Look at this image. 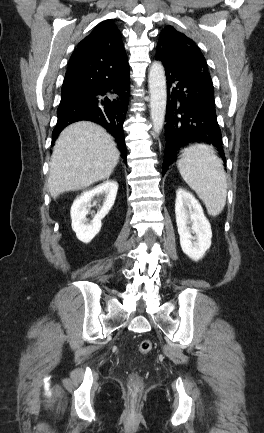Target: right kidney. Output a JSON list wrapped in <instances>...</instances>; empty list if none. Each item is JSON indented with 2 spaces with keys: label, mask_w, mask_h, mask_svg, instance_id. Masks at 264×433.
<instances>
[{
  "label": "right kidney",
  "mask_w": 264,
  "mask_h": 433,
  "mask_svg": "<svg viewBox=\"0 0 264 433\" xmlns=\"http://www.w3.org/2000/svg\"><path fill=\"white\" fill-rule=\"evenodd\" d=\"M118 183L116 181H106L95 188L85 191L77 197L71 206L72 229L77 238L83 243H89L99 233L102 223L101 220L108 214L114 205L117 195ZM105 195V201L93 220L88 223L86 215L87 207L95 196Z\"/></svg>",
  "instance_id": "obj_1"
}]
</instances>
